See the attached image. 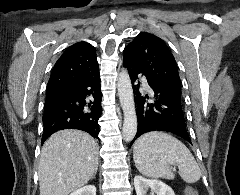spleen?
I'll return each instance as SVG.
<instances>
[{
  "mask_svg": "<svg viewBox=\"0 0 240 195\" xmlns=\"http://www.w3.org/2000/svg\"><path fill=\"white\" fill-rule=\"evenodd\" d=\"M135 165L147 177H168V165H178L186 183L200 179L201 169L190 149L170 133L148 131L136 139L133 147Z\"/></svg>",
  "mask_w": 240,
  "mask_h": 195,
  "instance_id": "3e777b00",
  "label": "spleen"
}]
</instances>
